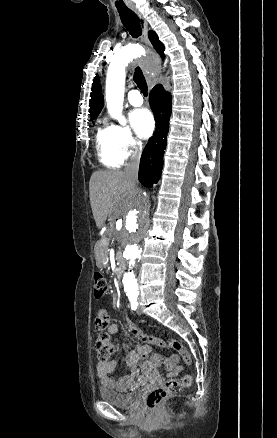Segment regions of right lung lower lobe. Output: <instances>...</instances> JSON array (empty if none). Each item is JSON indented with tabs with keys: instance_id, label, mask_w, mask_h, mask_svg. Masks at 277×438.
<instances>
[{
	"instance_id": "right-lung-lower-lobe-1",
	"label": "right lung lower lobe",
	"mask_w": 277,
	"mask_h": 438,
	"mask_svg": "<svg viewBox=\"0 0 277 438\" xmlns=\"http://www.w3.org/2000/svg\"><path fill=\"white\" fill-rule=\"evenodd\" d=\"M172 98L162 85L155 86L150 92V105L157 124L154 137L146 145L139 167V181L146 187H152L161 176L163 155L166 148Z\"/></svg>"
}]
</instances>
